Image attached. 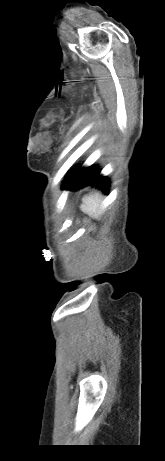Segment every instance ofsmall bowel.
I'll return each mask as SVG.
<instances>
[{
    "instance_id": "small-bowel-1",
    "label": "small bowel",
    "mask_w": 165,
    "mask_h": 461,
    "mask_svg": "<svg viewBox=\"0 0 165 461\" xmlns=\"http://www.w3.org/2000/svg\"><path fill=\"white\" fill-rule=\"evenodd\" d=\"M74 252L77 254L79 251L76 249Z\"/></svg>"
}]
</instances>
